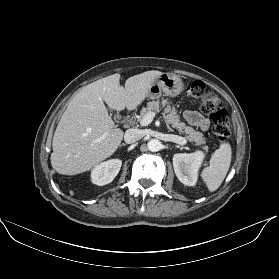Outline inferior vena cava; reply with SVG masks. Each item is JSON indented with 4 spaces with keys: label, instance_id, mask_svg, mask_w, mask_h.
<instances>
[{
    "label": "inferior vena cava",
    "instance_id": "inferior-vena-cava-1",
    "mask_svg": "<svg viewBox=\"0 0 279 279\" xmlns=\"http://www.w3.org/2000/svg\"><path fill=\"white\" fill-rule=\"evenodd\" d=\"M142 138V134L138 129H128L124 135V141L127 144L135 143Z\"/></svg>",
    "mask_w": 279,
    "mask_h": 279
}]
</instances>
